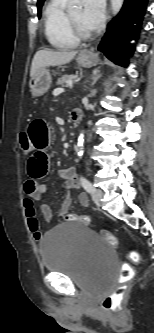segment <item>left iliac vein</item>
<instances>
[{"label": "left iliac vein", "mask_w": 154, "mask_h": 333, "mask_svg": "<svg viewBox=\"0 0 154 333\" xmlns=\"http://www.w3.org/2000/svg\"><path fill=\"white\" fill-rule=\"evenodd\" d=\"M103 197V192L100 189H94L92 193V200L95 204L99 205L101 202V198Z\"/></svg>", "instance_id": "1"}]
</instances>
